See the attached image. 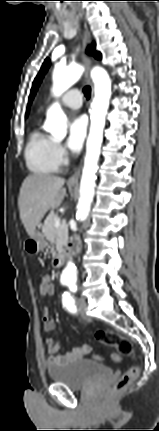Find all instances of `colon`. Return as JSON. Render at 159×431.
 Wrapping results in <instances>:
<instances>
[{
	"instance_id": "1",
	"label": "colon",
	"mask_w": 159,
	"mask_h": 431,
	"mask_svg": "<svg viewBox=\"0 0 159 431\" xmlns=\"http://www.w3.org/2000/svg\"><path fill=\"white\" fill-rule=\"evenodd\" d=\"M56 287L57 284L54 282V278L50 277L48 283L49 297H56ZM95 337L102 344L115 349V352L110 357L113 366L116 363L121 362L120 358L122 356H129L134 351V346L131 340L114 331L100 329L96 331ZM138 374L139 370L135 366L127 369L123 376L114 384L112 388V395L117 396L124 392L125 389L137 378Z\"/></svg>"
}]
</instances>
